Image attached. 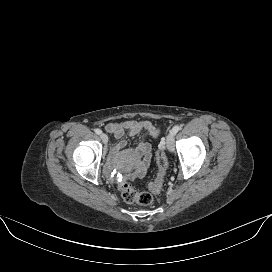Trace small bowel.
<instances>
[{"label":"small bowel","instance_id":"c3829d8e","mask_svg":"<svg viewBox=\"0 0 272 272\" xmlns=\"http://www.w3.org/2000/svg\"><path fill=\"white\" fill-rule=\"evenodd\" d=\"M105 129L107 132L112 134L115 139L119 140L113 147L114 153H119L126 149L127 140L124 139L126 135L143 136V140L138 147L127 151L129 155L141 159V165L135 174L137 176L143 175L150 165L152 157V142L158 137L160 133L159 128L150 121L130 120L121 123L110 122L105 126Z\"/></svg>","mask_w":272,"mask_h":272}]
</instances>
